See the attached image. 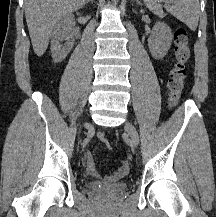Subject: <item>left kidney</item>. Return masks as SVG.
Returning a JSON list of instances; mask_svg holds the SVG:
<instances>
[{
	"label": "left kidney",
	"mask_w": 216,
	"mask_h": 217,
	"mask_svg": "<svg viewBox=\"0 0 216 217\" xmlns=\"http://www.w3.org/2000/svg\"><path fill=\"white\" fill-rule=\"evenodd\" d=\"M172 37V31L165 23L157 22L155 24L148 38V47L155 59L161 60L165 57L170 49Z\"/></svg>",
	"instance_id": "left-kidney-1"
}]
</instances>
